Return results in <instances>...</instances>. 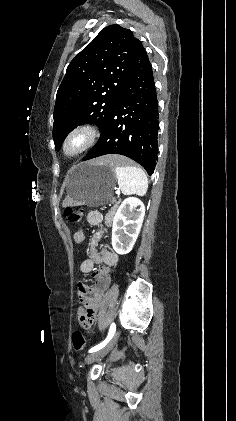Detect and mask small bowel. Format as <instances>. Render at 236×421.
Masks as SVG:
<instances>
[{
	"mask_svg": "<svg viewBox=\"0 0 236 421\" xmlns=\"http://www.w3.org/2000/svg\"><path fill=\"white\" fill-rule=\"evenodd\" d=\"M101 220H102V217H101V214L99 213V212H97V211H91L89 214H88V216H87V221L91 224V225H94V226H99L100 224H101ZM99 235H100V233H99ZM83 238H84V234H83V231L82 230H79L76 234H75V240L77 241V242H81L82 240H83ZM82 290V291H81ZM88 291V288L85 286V285H83V284H79V291H78V295H79V297L80 298H83L84 297V295H85V293ZM78 315H79V318H80V320L81 319H83V317H81L82 315H83V313H82V311L81 310H79L78 311ZM84 323V322H83Z\"/></svg>",
	"mask_w": 236,
	"mask_h": 421,
	"instance_id": "obj_1",
	"label": "small bowel"
}]
</instances>
